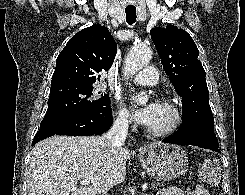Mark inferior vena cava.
Segmentation results:
<instances>
[{"label": "inferior vena cava", "instance_id": "602c4592", "mask_svg": "<svg viewBox=\"0 0 245 195\" xmlns=\"http://www.w3.org/2000/svg\"><path fill=\"white\" fill-rule=\"evenodd\" d=\"M128 119L126 116L118 117L111 129L105 135V138L111 143L114 147H121L128 134Z\"/></svg>", "mask_w": 245, "mask_h": 195}]
</instances>
